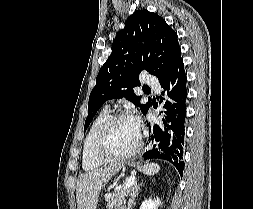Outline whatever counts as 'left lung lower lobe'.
Instances as JSON below:
<instances>
[{
  "mask_svg": "<svg viewBox=\"0 0 253 209\" xmlns=\"http://www.w3.org/2000/svg\"><path fill=\"white\" fill-rule=\"evenodd\" d=\"M186 74L182 59L177 62L170 72L160 80L164 89L160 103L165 100L163 112L158 115L162 122L148 124L149 147L144 152V160L164 159L171 162L182 176L184 170L183 145L185 137L186 118ZM154 106H156L153 103Z\"/></svg>",
  "mask_w": 253,
  "mask_h": 209,
  "instance_id": "1",
  "label": "left lung lower lobe"
}]
</instances>
